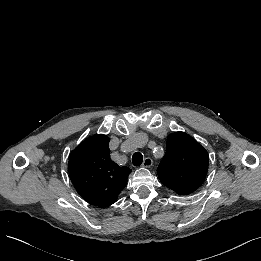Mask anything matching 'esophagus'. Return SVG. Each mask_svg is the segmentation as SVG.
I'll list each match as a JSON object with an SVG mask.
<instances>
[{"mask_svg": "<svg viewBox=\"0 0 261 261\" xmlns=\"http://www.w3.org/2000/svg\"><path fill=\"white\" fill-rule=\"evenodd\" d=\"M152 164H153L152 159L149 158V157H147V158H145V160L143 161V164H142V165H143V167L148 168V167L152 166Z\"/></svg>", "mask_w": 261, "mask_h": 261, "instance_id": "obj_1", "label": "esophagus"}]
</instances>
